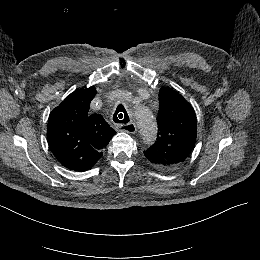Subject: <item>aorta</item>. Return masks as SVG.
Returning a JSON list of instances; mask_svg holds the SVG:
<instances>
[{
    "mask_svg": "<svg viewBox=\"0 0 260 260\" xmlns=\"http://www.w3.org/2000/svg\"><path fill=\"white\" fill-rule=\"evenodd\" d=\"M135 116L144 142L152 144L157 134V123L152 113L144 107L137 106Z\"/></svg>",
    "mask_w": 260,
    "mask_h": 260,
    "instance_id": "762f6f07",
    "label": "aorta"
}]
</instances>
